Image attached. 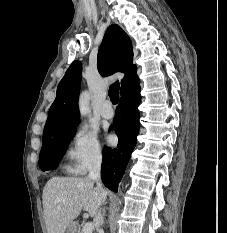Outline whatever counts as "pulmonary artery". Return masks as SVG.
Returning <instances> with one entry per match:
<instances>
[{"label": "pulmonary artery", "instance_id": "obj_1", "mask_svg": "<svg viewBox=\"0 0 227 233\" xmlns=\"http://www.w3.org/2000/svg\"><path fill=\"white\" fill-rule=\"evenodd\" d=\"M101 116L105 119H112L114 117V109L109 100H106L101 109Z\"/></svg>", "mask_w": 227, "mask_h": 233}]
</instances>
